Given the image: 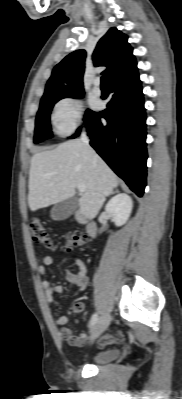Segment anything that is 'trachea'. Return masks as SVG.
<instances>
[{
	"label": "trachea",
	"mask_w": 182,
	"mask_h": 399,
	"mask_svg": "<svg viewBox=\"0 0 182 399\" xmlns=\"http://www.w3.org/2000/svg\"><path fill=\"white\" fill-rule=\"evenodd\" d=\"M101 87L102 88H108V78L106 76H103L101 78Z\"/></svg>",
	"instance_id": "obj_1"
}]
</instances>
